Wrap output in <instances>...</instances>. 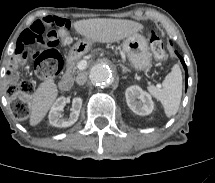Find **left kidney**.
Listing matches in <instances>:
<instances>
[{
    "label": "left kidney",
    "instance_id": "1",
    "mask_svg": "<svg viewBox=\"0 0 215 183\" xmlns=\"http://www.w3.org/2000/svg\"><path fill=\"white\" fill-rule=\"evenodd\" d=\"M129 108L137 115L145 116L153 111L154 103L151 96L139 86H131L125 92Z\"/></svg>",
    "mask_w": 215,
    "mask_h": 183
}]
</instances>
